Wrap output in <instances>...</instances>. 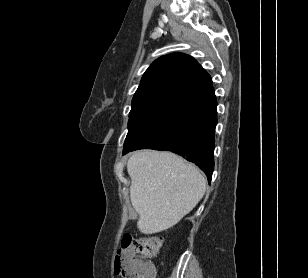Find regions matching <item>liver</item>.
<instances>
[{"label": "liver", "instance_id": "6515ba94", "mask_svg": "<svg viewBox=\"0 0 308 278\" xmlns=\"http://www.w3.org/2000/svg\"><path fill=\"white\" fill-rule=\"evenodd\" d=\"M130 199L137 227L154 234L177 224L202 199L206 179L193 164L172 152L140 150L127 162Z\"/></svg>", "mask_w": 308, "mask_h": 278}]
</instances>
